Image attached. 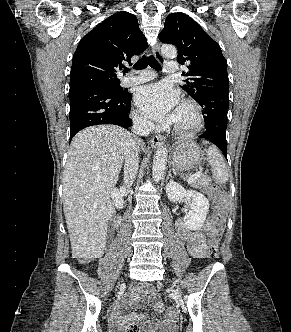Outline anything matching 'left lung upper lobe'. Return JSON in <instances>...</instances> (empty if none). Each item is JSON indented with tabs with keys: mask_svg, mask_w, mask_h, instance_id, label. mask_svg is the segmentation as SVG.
<instances>
[{
	"mask_svg": "<svg viewBox=\"0 0 291 332\" xmlns=\"http://www.w3.org/2000/svg\"><path fill=\"white\" fill-rule=\"evenodd\" d=\"M159 39L177 47V62L189 69L183 74L189 78L180 87L193 99L228 95L227 61L220 46L192 18L181 12L168 15Z\"/></svg>",
	"mask_w": 291,
	"mask_h": 332,
	"instance_id": "5c2ea615",
	"label": "left lung upper lobe"
}]
</instances>
